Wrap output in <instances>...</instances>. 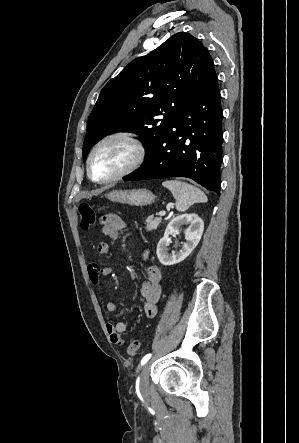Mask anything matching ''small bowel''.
Returning <instances> with one entry per match:
<instances>
[{
    "instance_id": "c3829d8e",
    "label": "small bowel",
    "mask_w": 299,
    "mask_h": 443,
    "mask_svg": "<svg viewBox=\"0 0 299 443\" xmlns=\"http://www.w3.org/2000/svg\"><path fill=\"white\" fill-rule=\"evenodd\" d=\"M125 228V222L117 214H107L102 219L101 232L104 236L112 241L118 240L120 233ZM97 251L100 255L109 253V244L107 242H99ZM149 252L143 253V258L147 259ZM112 272V268L108 263H92L88 267V275L93 285L99 286L100 279L108 277ZM147 280L140 287V296L143 301L144 314L147 318H152L158 311V302L162 291V272L157 266H150L146 270ZM106 310L109 313L117 311V305L113 301L105 303ZM110 340L115 345H123L124 340L122 334L126 331V324L123 321L108 323L106 325Z\"/></svg>"
}]
</instances>
